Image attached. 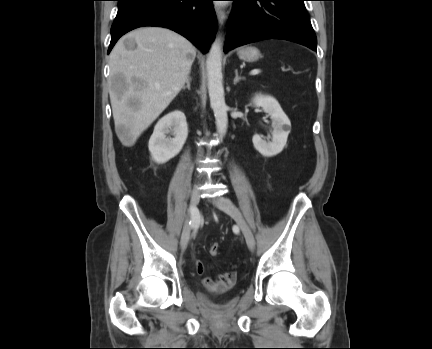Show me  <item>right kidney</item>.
Listing matches in <instances>:
<instances>
[{
	"label": "right kidney",
	"instance_id": "ca27d5eb",
	"mask_svg": "<svg viewBox=\"0 0 432 349\" xmlns=\"http://www.w3.org/2000/svg\"><path fill=\"white\" fill-rule=\"evenodd\" d=\"M171 133L173 138L167 137ZM188 136V126L183 112L175 110L162 117L155 125L148 148L152 159L163 164L182 150Z\"/></svg>",
	"mask_w": 432,
	"mask_h": 349
}]
</instances>
